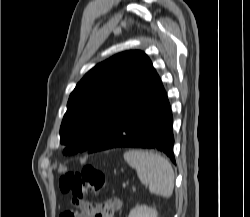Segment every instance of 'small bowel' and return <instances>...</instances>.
Instances as JSON below:
<instances>
[{
	"label": "small bowel",
	"mask_w": 250,
	"mask_h": 217,
	"mask_svg": "<svg viewBox=\"0 0 250 217\" xmlns=\"http://www.w3.org/2000/svg\"><path fill=\"white\" fill-rule=\"evenodd\" d=\"M100 205H101L100 217H114L115 213L122 208V201L118 198H112ZM69 217H86V216L74 212L70 214Z\"/></svg>",
	"instance_id": "obj_1"
}]
</instances>
